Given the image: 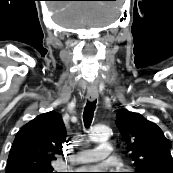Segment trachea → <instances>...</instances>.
Listing matches in <instances>:
<instances>
[{
	"instance_id": "obj_1",
	"label": "trachea",
	"mask_w": 173,
	"mask_h": 173,
	"mask_svg": "<svg viewBox=\"0 0 173 173\" xmlns=\"http://www.w3.org/2000/svg\"><path fill=\"white\" fill-rule=\"evenodd\" d=\"M96 100L95 101H87L86 106L83 112V121L86 128L90 127L94 115Z\"/></svg>"
}]
</instances>
